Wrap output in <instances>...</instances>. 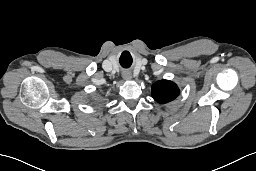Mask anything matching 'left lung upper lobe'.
I'll return each mask as SVG.
<instances>
[{
	"mask_svg": "<svg viewBox=\"0 0 256 171\" xmlns=\"http://www.w3.org/2000/svg\"><path fill=\"white\" fill-rule=\"evenodd\" d=\"M179 94V88L169 80H160L152 85V97L159 103H168Z\"/></svg>",
	"mask_w": 256,
	"mask_h": 171,
	"instance_id": "5c2ea615",
	"label": "left lung upper lobe"
}]
</instances>
